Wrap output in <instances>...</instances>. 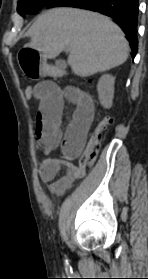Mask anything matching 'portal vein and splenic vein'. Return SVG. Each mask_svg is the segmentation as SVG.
<instances>
[{"label": "portal vein and splenic vein", "mask_w": 148, "mask_h": 279, "mask_svg": "<svg viewBox=\"0 0 148 279\" xmlns=\"http://www.w3.org/2000/svg\"><path fill=\"white\" fill-rule=\"evenodd\" d=\"M70 49L69 48H66V51H69Z\"/></svg>", "instance_id": "18ae733b"}]
</instances>
